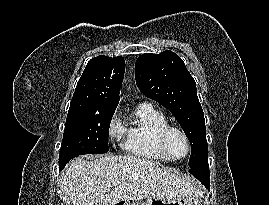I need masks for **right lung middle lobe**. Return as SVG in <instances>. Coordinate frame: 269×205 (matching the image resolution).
<instances>
[{"label":"right lung middle lobe","instance_id":"obj_1","mask_svg":"<svg viewBox=\"0 0 269 205\" xmlns=\"http://www.w3.org/2000/svg\"><path fill=\"white\" fill-rule=\"evenodd\" d=\"M114 112L69 109L59 161L68 155L101 154L109 151V127Z\"/></svg>","mask_w":269,"mask_h":205}]
</instances>
